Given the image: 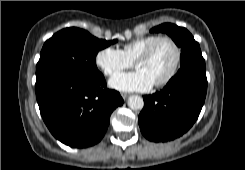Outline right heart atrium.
<instances>
[{
    "mask_svg": "<svg viewBox=\"0 0 245 170\" xmlns=\"http://www.w3.org/2000/svg\"><path fill=\"white\" fill-rule=\"evenodd\" d=\"M95 63L106 75L110 76L132 66V61L125 56L122 50L111 46L104 47L97 52Z\"/></svg>",
    "mask_w": 245,
    "mask_h": 170,
    "instance_id": "1",
    "label": "right heart atrium"
}]
</instances>
